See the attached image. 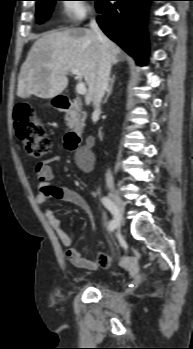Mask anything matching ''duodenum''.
<instances>
[{"label": "duodenum", "instance_id": "1", "mask_svg": "<svg viewBox=\"0 0 193 349\" xmlns=\"http://www.w3.org/2000/svg\"><path fill=\"white\" fill-rule=\"evenodd\" d=\"M57 108L66 113L70 119H74L75 117V102L74 100L68 99L64 96H58L55 99ZM82 132L77 129L75 126L66 133L65 135V146L67 150L71 152H76L79 148L81 142Z\"/></svg>", "mask_w": 193, "mask_h": 349}]
</instances>
